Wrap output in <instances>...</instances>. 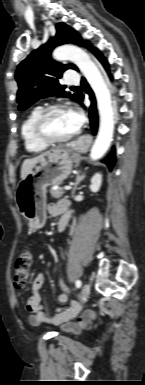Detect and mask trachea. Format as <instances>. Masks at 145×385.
<instances>
[{
  "label": "trachea",
  "instance_id": "trachea-1",
  "mask_svg": "<svg viewBox=\"0 0 145 385\" xmlns=\"http://www.w3.org/2000/svg\"><path fill=\"white\" fill-rule=\"evenodd\" d=\"M78 86H73V88H77Z\"/></svg>",
  "mask_w": 145,
  "mask_h": 385
}]
</instances>
